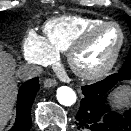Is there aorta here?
Masks as SVG:
<instances>
[{"instance_id":"aorta-1","label":"aorta","mask_w":131,"mask_h":131,"mask_svg":"<svg viewBox=\"0 0 131 131\" xmlns=\"http://www.w3.org/2000/svg\"><path fill=\"white\" fill-rule=\"evenodd\" d=\"M56 97L58 102L64 106H72L76 102L75 91L68 86H61L57 89Z\"/></svg>"}]
</instances>
